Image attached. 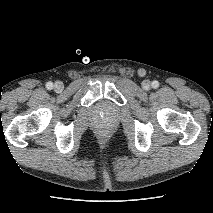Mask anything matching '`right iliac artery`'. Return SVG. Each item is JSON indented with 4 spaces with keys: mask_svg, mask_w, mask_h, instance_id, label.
Returning a JSON list of instances; mask_svg holds the SVG:
<instances>
[{
    "mask_svg": "<svg viewBox=\"0 0 213 213\" xmlns=\"http://www.w3.org/2000/svg\"><path fill=\"white\" fill-rule=\"evenodd\" d=\"M46 88H47L48 90H51V89L53 88V83H52V82H47V83H46Z\"/></svg>",
    "mask_w": 213,
    "mask_h": 213,
    "instance_id": "82829eb1",
    "label": "right iliac artery"
}]
</instances>
